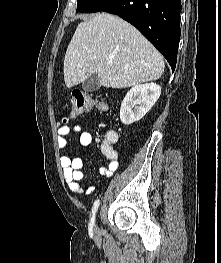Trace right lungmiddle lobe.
<instances>
[{
  "mask_svg": "<svg viewBox=\"0 0 221 263\" xmlns=\"http://www.w3.org/2000/svg\"><path fill=\"white\" fill-rule=\"evenodd\" d=\"M104 0H77L76 12L90 13L100 5Z\"/></svg>",
  "mask_w": 221,
  "mask_h": 263,
  "instance_id": "obj_1",
  "label": "right lung middle lobe"
}]
</instances>
